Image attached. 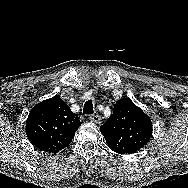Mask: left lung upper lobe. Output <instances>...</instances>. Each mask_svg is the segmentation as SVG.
<instances>
[{"label":"left lung upper lobe","instance_id":"left-lung-upper-lobe-1","mask_svg":"<svg viewBox=\"0 0 188 188\" xmlns=\"http://www.w3.org/2000/svg\"><path fill=\"white\" fill-rule=\"evenodd\" d=\"M100 131L113 151L132 154L150 140L152 122L130 99L122 98L116 102L106 123L100 126Z\"/></svg>","mask_w":188,"mask_h":188}]
</instances>
